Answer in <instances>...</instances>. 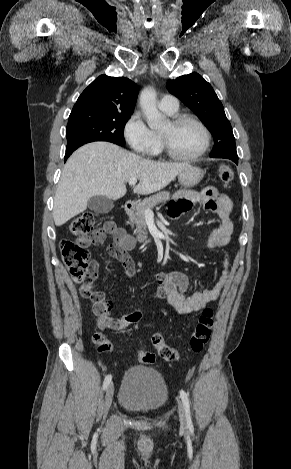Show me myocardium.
Returning <instances> with one entry per match:
<instances>
[{
    "label": "myocardium",
    "instance_id": "f54148a6",
    "mask_svg": "<svg viewBox=\"0 0 291 469\" xmlns=\"http://www.w3.org/2000/svg\"><path fill=\"white\" fill-rule=\"evenodd\" d=\"M185 121H191L195 123L202 131L203 145L201 149L193 155L181 156L172 149L168 139L164 135L160 134L161 146L163 152L171 159L180 162H192L201 158L208 151L211 143V134L207 126L199 118L191 114H176L171 118L170 123L173 126H177Z\"/></svg>",
    "mask_w": 291,
    "mask_h": 469
}]
</instances>
